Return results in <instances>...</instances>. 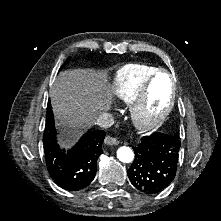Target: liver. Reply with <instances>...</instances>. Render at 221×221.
Returning <instances> with one entry per match:
<instances>
[{"label":"liver","mask_w":221,"mask_h":221,"mask_svg":"<svg viewBox=\"0 0 221 221\" xmlns=\"http://www.w3.org/2000/svg\"><path fill=\"white\" fill-rule=\"evenodd\" d=\"M50 97L56 124L63 128L65 145L95 124L111 105L107 74L93 69L60 72Z\"/></svg>","instance_id":"liver-1"}]
</instances>
